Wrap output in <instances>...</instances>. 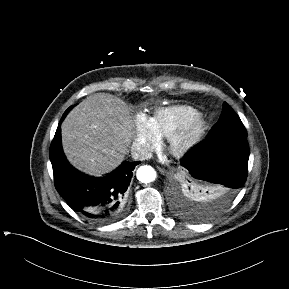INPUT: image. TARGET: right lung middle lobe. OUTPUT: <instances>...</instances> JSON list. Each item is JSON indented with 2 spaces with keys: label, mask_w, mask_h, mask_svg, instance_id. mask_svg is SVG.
<instances>
[{
  "label": "right lung middle lobe",
  "mask_w": 289,
  "mask_h": 289,
  "mask_svg": "<svg viewBox=\"0 0 289 289\" xmlns=\"http://www.w3.org/2000/svg\"><path fill=\"white\" fill-rule=\"evenodd\" d=\"M72 107H73V106L69 107V108L65 111V113L63 114V116H66L67 113L72 109Z\"/></svg>",
  "instance_id": "dd1d6c3e"
}]
</instances>
